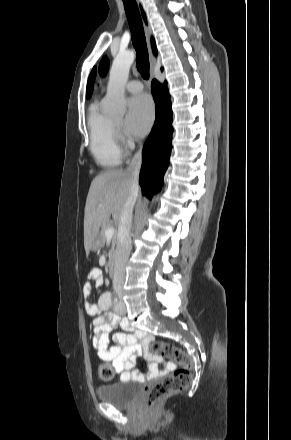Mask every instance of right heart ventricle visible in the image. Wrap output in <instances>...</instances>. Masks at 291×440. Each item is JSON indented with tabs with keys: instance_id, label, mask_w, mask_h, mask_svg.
<instances>
[{
	"instance_id": "e07e8e85",
	"label": "right heart ventricle",
	"mask_w": 291,
	"mask_h": 440,
	"mask_svg": "<svg viewBox=\"0 0 291 440\" xmlns=\"http://www.w3.org/2000/svg\"><path fill=\"white\" fill-rule=\"evenodd\" d=\"M88 127L90 151L96 163L105 168L119 166L122 154L117 143L113 120L101 112L97 103H93L89 109Z\"/></svg>"
}]
</instances>
